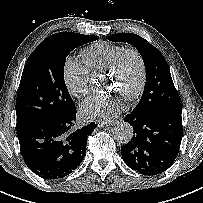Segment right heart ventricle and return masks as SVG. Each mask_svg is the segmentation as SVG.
<instances>
[{
    "label": "right heart ventricle",
    "mask_w": 203,
    "mask_h": 203,
    "mask_svg": "<svg viewBox=\"0 0 203 203\" xmlns=\"http://www.w3.org/2000/svg\"><path fill=\"white\" fill-rule=\"evenodd\" d=\"M123 49V45L100 42L83 49L80 56L89 73H96L106 71Z\"/></svg>",
    "instance_id": "1"
}]
</instances>
